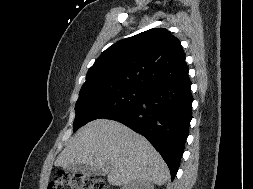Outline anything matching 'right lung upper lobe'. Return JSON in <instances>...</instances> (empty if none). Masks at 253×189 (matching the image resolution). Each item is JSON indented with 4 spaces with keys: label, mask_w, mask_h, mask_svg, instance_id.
<instances>
[{
    "label": "right lung upper lobe",
    "mask_w": 253,
    "mask_h": 189,
    "mask_svg": "<svg viewBox=\"0 0 253 189\" xmlns=\"http://www.w3.org/2000/svg\"><path fill=\"white\" fill-rule=\"evenodd\" d=\"M188 77L180 41L165 28H154L118 41L89 69L80 93L124 86L146 91Z\"/></svg>",
    "instance_id": "obj_1"
}]
</instances>
